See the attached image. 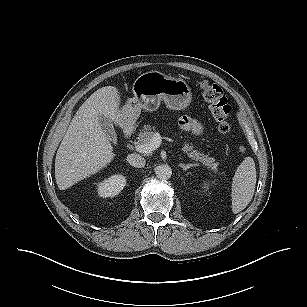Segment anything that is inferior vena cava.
Here are the masks:
<instances>
[{
    "instance_id": "inferior-vena-cava-1",
    "label": "inferior vena cava",
    "mask_w": 307,
    "mask_h": 307,
    "mask_svg": "<svg viewBox=\"0 0 307 307\" xmlns=\"http://www.w3.org/2000/svg\"><path fill=\"white\" fill-rule=\"evenodd\" d=\"M127 161L131 166L137 167V168H142L146 164L144 157L137 155V154L128 155Z\"/></svg>"
}]
</instances>
